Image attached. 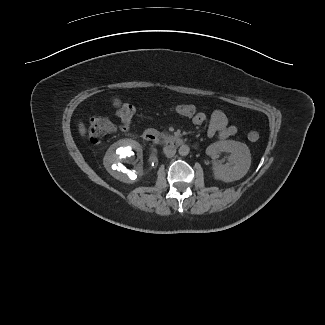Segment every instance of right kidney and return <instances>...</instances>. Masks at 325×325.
<instances>
[{
  "instance_id": "right-kidney-1",
  "label": "right kidney",
  "mask_w": 325,
  "mask_h": 325,
  "mask_svg": "<svg viewBox=\"0 0 325 325\" xmlns=\"http://www.w3.org/2000/svg\"><path fill=\"white\" fill-rule=\"evenodd\" d=\"M103 164L106 170L124 183L139 181L145 175L143 152L140 144L132 139H122L107 150ZM132 165V169L126 165Z\"/></svg>"
}]
</instances>
